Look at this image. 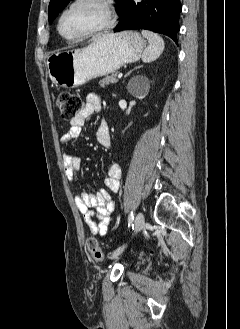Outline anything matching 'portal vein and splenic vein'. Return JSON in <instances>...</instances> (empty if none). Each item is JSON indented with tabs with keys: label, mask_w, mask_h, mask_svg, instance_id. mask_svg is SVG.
Returning a JSON list of instances; mask_svg holds the SVG:
<instances>
[{
	"label": "portal vein and splenic vein",
	"mask_w": 240,
	"mask_h": 329,
	"mask_svg": "<svg viewBox=\"0 0 240 329\" xmlns=\"http://www.w3.org/2000/svg\"><path fill=\"white\" fill-rule=\"evenodd\" d=\"M122 76H123V74H122V73H119V74H118V78H119V79H121V78H122Z\"/></svg>",
	"instance_id": "18ae733b"
}]
</instances>
